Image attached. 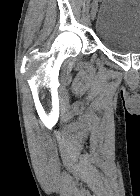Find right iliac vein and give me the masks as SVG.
<instances>
[{"label": "right iliac vein", "mask_w": 140, "mask_h": 196, "mask_svg": "<svg viewBox=\"0 0 140 196\" xmlns=\"http://www.w3.org/2000/svg\"><path fill=\"white\" fill-rule=\"evenodd\" d=\"M96 11H97L96 7H93L91 10V19L92 20H94L96 17Z\"/></svg>", "instance_id": "1"}]
</instances>
